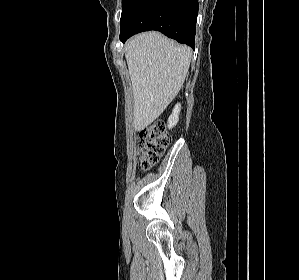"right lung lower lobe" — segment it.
Listing matches in <instances>:
<instances>
[{"mask_svg":"<svg viewBox=\"0 0 299 280\" xmlns=\"http://www.w3.org/2000/svg\"><path fill=\"white\" fill-rule=\"evenodd\" d=\"M198 0H125L120 40L143 31L157 30L192 48L195 46Z\"/></svg>","mask_w":299,"mask_h":280,"instance_id":"right-lung-lower-lobe-1","label":"right lung lower lobe"}]
</instances>
